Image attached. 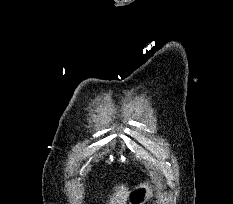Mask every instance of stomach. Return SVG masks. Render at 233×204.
<instances>
[{
	"mask_svg": "<svg viewBox=\"0 0 233 204\" xmlns=\"http://www.w3.org/2000/svg\"><path fill=\"white\" fill-rule=\"evenodd\" d=\"M152 195V186L146 182L133 187L128 192L127 200L129 204H145L152 197Z\"/></svg>",
	"mask_w": 233,
	"mask_h": 204,
	"instance_id": "1",
	"label": "stomach"
}]
</instances>
